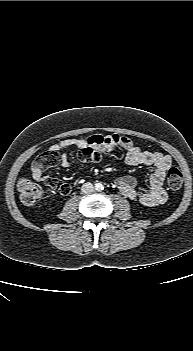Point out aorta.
<instances>
[{
  "label": "aorta",
  "instance_id": "762f6f07",
  "mask_svg": "<svg viewBox=\"0 0 193 351\" xmlns=\"http://www.w3.org/2000/svg\"><path fill=\"white\" fill-rule=\"evenodd\" d=\"M103 189H104L103 184H101L100 182L95 184L96 191H101Z\"/></svg>",
  "mask_w": 193,
  "mask_h": 351
}]
</instances>
